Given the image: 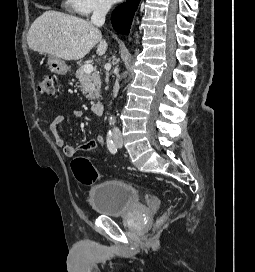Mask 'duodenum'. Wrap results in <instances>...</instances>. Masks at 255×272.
Returning a JSON list of instances; mask_svg holds the SVG:
<instances>
[{"label": "duodenum", "mask_w": 255, "mask_h": 272, "mask_svg": "<svg viewBox=\"0 0 255 272\" xmlns=\"http://www.w3.org/2000/svg\"><path fill=\"white\" fill-rule=\"evenodd\" d=\"M104 109V102L101 100H97L92 105V112L99 115L102 114Z\"/></svg>", "instance_id": "1"}]
</instances>
